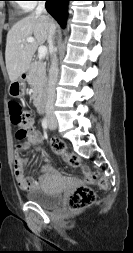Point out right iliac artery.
<instances>
[{
    "instance_id": "82829eb1",
    "label": "right iliac artery",
    "mask_w": 133,
    "mask_h": 253,
    "mask_svg": "<svg viewBox=\"0 0 133 253\" xmlns=\"http://www.w3.org/2000/svg\"><path fill=\"white\" fill-rule=\"evenodd\" d=\"M42 127H43L44 129H47V128H48V122H47V119H46V118H44V119L42 120Z\"/></svg>"
}]
</instances>
